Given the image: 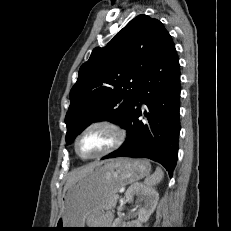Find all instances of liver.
<instances>
[{
    "mask_svg": "<svg viewBox=\"0 0 231 231\" xmlns=\"http://www.w3.org/2000/svg\"><path fill=\"white\" fill-rule=\"evenodd\" d=\"M101 164V162H93L91 164H88L87 166H84L71 172L64 186V193L74 182L90 174L97 166H100Z\"/></svg>",
    "mask_w": 231,
    "mask_h": 231,
    "instance_id": "liver-1",
    "label": "liver"
}]
</instances>
